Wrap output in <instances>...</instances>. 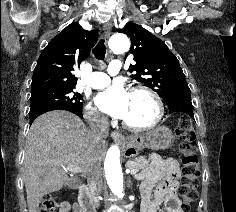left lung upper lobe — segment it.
<instances>
[{"label": "left lung upper lobe", "instance_id": "obj_1", "mask_svg": "<svg viewBox=\"0 0 236 212\" xmlns=\"http://www.w3.org/2000/svg\"><path fill=\"white\" fill-rule=\"evenodd\" d=\"M117 31L131 39L130 53L136 61L129 67L132 78L153 88L165 102L176 93L190 91L178 59L162 40L132 22Z\"/></svg>", "mask_w": 236, "mask_h": 212}]
</instances>
